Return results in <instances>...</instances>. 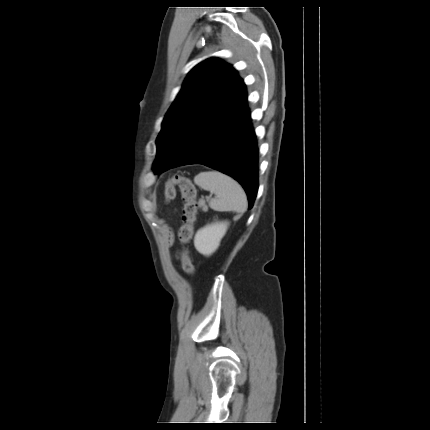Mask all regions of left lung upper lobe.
<instances>
[{
  "mask_svg": "<svg viewBox=\"0 0 430 430\" xmlns=\"http://www.w3.org/2000/svg\"><path fill=\"white\" fill-rule=\"evenodd\" d=\"M246 108V85L231 65L219 58H209L195 66L162 122L153 171L158 173L206 115L218 114L229 119Z\"/></svg>",
  "mask_w": 430,
  "mask_h": 430,
  "instance_id": "obj_1",
  "label": "left lung upper lobe"
}]
</instances>
